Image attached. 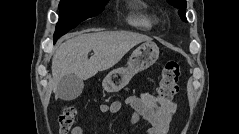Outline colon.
<instances>
[{"label":"colon","instance_id":"1","mask_svg":"<svg viewBox=\"0 0 239 134\" xmlns=\"http://www.w3.org/2000/svg\"><path fill=\"white\" fill-rule=\"evenodd\" d=\"M180 74V67L176 62H169L163 67L157 86L160 98L170 100L175 96L179 87ZM76 115L77 108L75 106L68 105L63 108L58 118L61 134H68L70 132Z\"/></svg>","mask_w":239,"mask_h":134}]
</instances>
